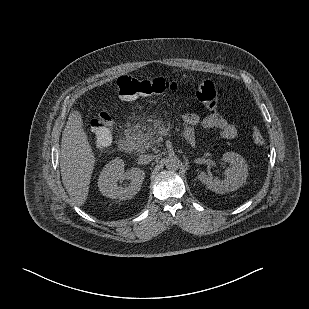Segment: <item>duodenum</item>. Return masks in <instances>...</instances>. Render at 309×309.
I'll use <instances>...</instances> for the list:
<instances>
[{
	"label": "duodenum",
	"mask_w": 309,
	"mask_h": 309,
	"mask_svg": "<svg viewBox=\"0 0 309 309\" xmlns=\"http://www.w3.org/2000/svg\"><path fill=\"white\" fill-rule=\"evenodd\" d=\"M134 144L131 139L122 137L118 141V148L123 153H130L133 150Z\"/></svg>",
	"instance_id": "1"
}]
</instances>
